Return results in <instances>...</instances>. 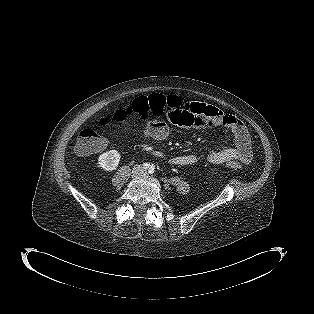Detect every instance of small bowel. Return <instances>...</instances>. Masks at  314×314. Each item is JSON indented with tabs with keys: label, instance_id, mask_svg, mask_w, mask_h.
Masks as SVG:
<instances>
[{
	"label": "small bowel",
	"instance_id": "small-bowel-1",
	"mask_svg": "<svg viewBox=\"0 0 314 314\" xmlns=\"http://www.w3.org/2000/svg\"><path fill=\"white\" fill-rule=\"evenodd\" d=\"M165 121L179 129L190 127L196 130L224 128L232 132L234 147L212 151L206 154L205 159L212 164H223L229 159L248 164L252 158L250 135L244 124L234 115L223 112L221 109L205 103L192 102L188 104H171L163 112ZM169 129L165 122L156 120L149 123L144 136L149 140H163L168 136ZM106 142L104 141L105 147ZM102 148V149H103ZM101 149V150H102ZM197 162L194 154H182L171 159L176 166H190Z\"/></svg>",
	"mask_w": 314,
	"mask_h": 314
}]
</instances>
